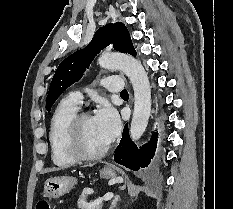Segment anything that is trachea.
I'll return each mask as SVG.
<instances>
[{
    "label": "trachea",
    "mask_w": 233,
    "mask_h": 209,
    "mask_svg": "<svg viewBox=\"0 0 233 209\" xmlns=\"http://www.w3.org/2000/svg\"><path fill=\"white\" fill-rule=\"evenodd\" d=\"M120 95H128V91L127 90H123Z\"/></svg>",
    "instance_id": "1"
}]
</instances>
